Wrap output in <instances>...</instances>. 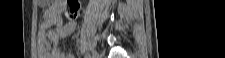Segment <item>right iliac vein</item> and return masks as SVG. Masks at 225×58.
Wrapping results in <instances>:
<instances>
[{"mask_svg":"<svg viewBox=\"0 0 225 58\" xmlns=\"http://www.w3.org/2000/svg\"><path fill=\"white\" fill-rule=\"evenodd\" d=\"M92 58H98V54H97V52H93V54H92Z\"/></svg>","mask_w":225,"mask_h":58,"instance_id":"1","label":"right iliac vein"}]
</instances>
